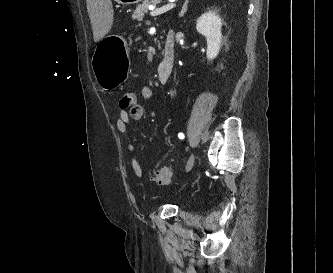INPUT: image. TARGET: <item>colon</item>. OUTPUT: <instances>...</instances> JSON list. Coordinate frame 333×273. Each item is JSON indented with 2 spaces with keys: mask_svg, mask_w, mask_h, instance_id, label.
I'll list each match as a JSON object with an SVG mask.
<instances>
[{
  "mask_svg": "<svg viewBox=\"0 0 333 273\" xmlns=\"http://www.w3.org/2000/svg\"><path fill=\"white\" fill-rule=\"evenodd\" d=\"M137 95L133 91H127L122 94L119 104L122 109H129L137 104ZM171 170L167 167H162L156 170L152 180L159 185H167L171 182Z\"/></svg>",
  "mask_w": 333,
  "mask_h": 273,
  "instance_id": "1",
  "label": "colon"
}]
</instances>
